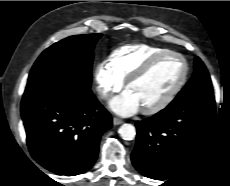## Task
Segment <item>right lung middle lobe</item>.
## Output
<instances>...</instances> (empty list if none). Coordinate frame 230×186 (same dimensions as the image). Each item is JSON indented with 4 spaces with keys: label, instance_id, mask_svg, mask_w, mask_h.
<instances>
[{
    "label": "right lung middle lobe",
    "instance_id": "dd1d6c3e",
    "mask_svg": "<svg viewBox=\"0 0 230 186\" xmlns=\"http://www.w3.org/2000/svg\"><path fill=\"white\" fill-rule=\"evenodd\" d=\"M102 34L67 37L47 48L36 60L27 86L66 78L83 87L91 86L92 50Z\"/></svg>",
    "mask_w": 230,
    "mask_h": 186
}]
</instances>
